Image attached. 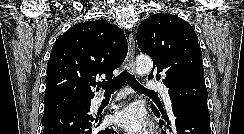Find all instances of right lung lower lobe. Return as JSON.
I'll list each match as a JSON object with an SVG mask.
<instances>
[{
  "label": "right lung lower lobe",
  "mask_w": 244,
  "mask_h": 134,
  "mask_svg": "<svg viewBox=\"0 0 244 134\" xmlns=\"http://www.w3.org/2000/svg\"><path fill=\"white\" fill-rule=\"evenodd\" d=\"M90 107H74L52 113L42 120L43 134H114L111 127L98 129Z\"/></svg>",
  "instance_id": "1"
}]
</instances>
